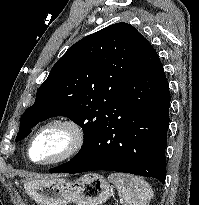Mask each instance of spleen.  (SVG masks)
I'll use <instances>...</instances> for the list:
<instances>
[{"mask_svg": "<svg viewBox=\"0 0 199 205\" xmlns=\"http://www.w3.org/2000/svg\"><path fill=\"white\" fill-rule=\"evenodd\" d=\"M108 180L116 186L124 205H148L153 198L151 186L142 178L124 173H112Z\"/></svg>", "mask_w": 199, "mask_h": 205, "instance_id": "1", "label": "spleen"}]
</instances>
